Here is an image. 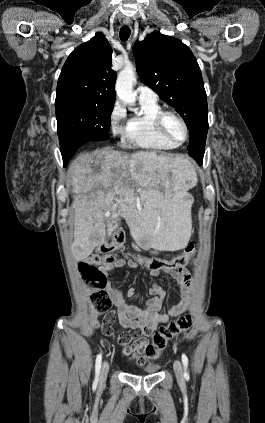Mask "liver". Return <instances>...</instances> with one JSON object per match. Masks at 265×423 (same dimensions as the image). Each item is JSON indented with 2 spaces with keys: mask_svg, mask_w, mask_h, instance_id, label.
Returning a JSON list of instances; mask_svg holds the SVG:
<instances>
[{
  "mask_svg": "<svg viewBox=\"0 0 265 423\" xmlns=\"http://www.w3.org/2000/svg\"><path fill=\"white\" fill-rule=\"evenodd\" d=\"M68 173L75 194L71 251L77 262L104 243L106 223L119 215L144 249L178 251L188 244L192 219L187 191L196 181L188 157L158 155L155 151L129 156L104 147L80 154Z\"/></svg>",
  "mask_w": 265,
  "mask_h": 423,
  "instance_id": "1",
  "label": "liver"
}]
</instances>
